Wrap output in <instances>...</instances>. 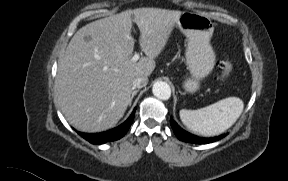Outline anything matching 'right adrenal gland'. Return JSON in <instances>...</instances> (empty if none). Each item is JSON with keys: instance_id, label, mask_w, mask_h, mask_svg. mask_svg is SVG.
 I'll use <instances>...</instances> for the list:
<instances>
[{"instance_id": "1", "label": "right adrenal gland", "mask_w": 288, "mask_h": 181, "mask_svg": "<svg viewBox=\"0 0 288 181\" xmlns=\"http://www.w3.org/2000/svg\"><path fill=\"white\" fill-rule=\"evenodd\" d=\"M137 92H139V90H134V91L132 92V95H131V98H130L129 106L131 105L132 100H133L134 96L137 94Z\"/></svg>"}]
</instances>
